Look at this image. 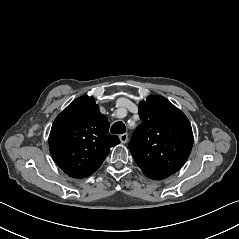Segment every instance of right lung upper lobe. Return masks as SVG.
Returning a JSON list of instances; mask_svg holds the SVG:
<instances>
[{
    "mask_svg": "<svg viewBox=\"0 0 239 239\" xmlns=\"http://www.w3.org/2000/svg\"><path fill=\"white\" fill-rule=\"evenodd\" d=\"M109 122L93 97L73 101L55 119L49 147L55 163L73 178H85L103 163L110 148L120 143L109 134Z\"/></svg>",
    "mask_w": 239,
    "mask_h": 239,
    "instance_id": "right-lung-upper-lobe-1",
    "label": "right lung upper lobe"
}]
</instances>
